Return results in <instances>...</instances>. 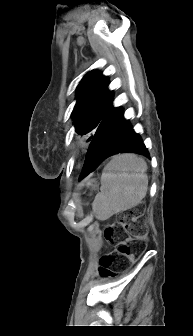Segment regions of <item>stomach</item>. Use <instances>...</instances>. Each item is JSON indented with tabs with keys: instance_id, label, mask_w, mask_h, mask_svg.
<instances>
[{
	"instance_id": "0dacf381",
	"label": "stomach",
	"mask_w": 193,
	"mask_h": 336,
	"mask_svg": "<svg viewBox=\"0 0 193 336\" xmlns=\"http://www.w3.org/2000/svg\"><path fill=\"white\" fill-rule=\"evenodd\" d=\"M86 186L90 191H93L97 188L98 185H97V182L95 180H90L86 183Z\"/></svg>"
}]
</instances>
